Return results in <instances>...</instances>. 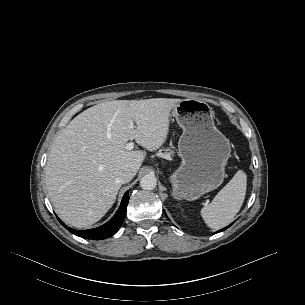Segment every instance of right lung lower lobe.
<instances>
[{"instance_id":"right-lung-lower-lobe-1","label":"right lung lower lobe","mask_w":305,"mask_h":305,"mask_svg":"<svg viewBox=\"0 0 305 305\" xmlns=\"http://www.w3.org/2000/svg\"><path fill=\"white\" fill-rule=\"evenodd\" d=\"M128 201H129V192L127 191L122 198L118 211L112 217V219L107 223H105L104 225L94 229L74 230L66 226L58 217L57 218L66 229L76 234L77 236H80L84 239H92V240L105 239L115 234L122 225L126 215V208L128 205Z\"/></svg>"}]
</instances>
